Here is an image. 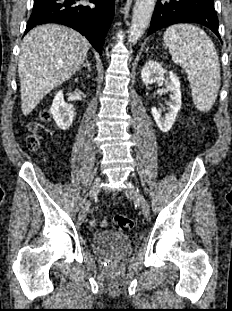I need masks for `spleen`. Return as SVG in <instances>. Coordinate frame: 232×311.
<instances>
[{
	"instance_id": "spleen-1",
	"label": "spleen",
	"mask_w": 232,
	"mask_h": 311,
	"mask_svg": "<svg viewBox=\"0 0 232 311\" xmlns=\"http://www.w3.org/2000/svg\"><path fill=\"white\" fill-rule=\"evenodd\" d=\"M163 40L174 63L188 75L196 108L209 111L220 88V64L212 40L204 30L191 24L170 26Z\"/></svg>"
}]
</instances>
